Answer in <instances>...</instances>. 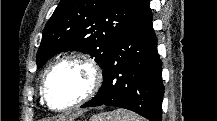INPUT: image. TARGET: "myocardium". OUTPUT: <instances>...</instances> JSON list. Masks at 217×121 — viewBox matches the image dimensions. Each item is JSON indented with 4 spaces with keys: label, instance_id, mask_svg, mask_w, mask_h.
I'll list each match as a JSON object with an SVG mask.
<instances>
[{
    "label": "myocardium",
    "instance_id": "obj_1",
    "mask_svg": "<svg viewBox=\"0 0 217 121\" xmlns=\"http://www.w3.org/2000/svg\"><path fill=\"white\" fill-rule=\"evenodd\" d=\"M69 63H81L87 66L91 72V77H92L91 84L88 90L73 103L66 105V106H62V107H55L52 105L50 101L49 93H48L49 82H50L52 75L59 67L65 64H69ZM102 82H103L102 69L95 58L91 57L88 54H84V53L69 54L67 56H64L58 59L56 62H54L49 68V70L47 71L44 77V80H43V84H42L43 99L45 103L47 104V106L52 111L65 112L75 107H78L84 104L85 102H87L88 100H90L99 91L102 85Z\"/></svg>",
    "mask_w": 217,
    "mask_h": 121
}]
</instances>
